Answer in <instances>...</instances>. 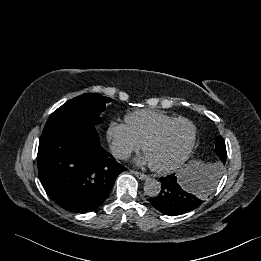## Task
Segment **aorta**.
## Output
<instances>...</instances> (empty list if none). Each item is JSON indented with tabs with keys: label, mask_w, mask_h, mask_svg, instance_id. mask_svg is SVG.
Returning a JSON list of instances; mask_svg holds the SVG:
<instances>
[{
	"label": "aorta",
	"mask_w": 261,
	"mask_h": 261,
	"mask_svg": "<svg viewBox=\"0 0 261 261\" xmlns=\"http://www.w3.org/2000/svg\"><path fill=\"white\" fill-rule=\"evenodd\" d=\"M161 191V183L155 179H147L144 183V192L149 197H156Z\"/></svg>",
	"instance_id": "aorta-1"
}]
</instances>
